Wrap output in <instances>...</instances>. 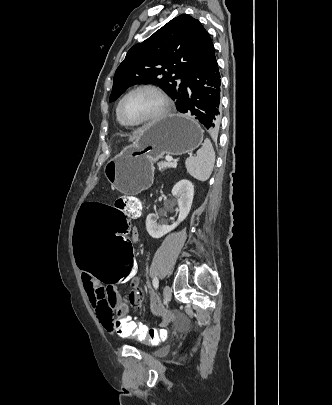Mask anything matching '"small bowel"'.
<instances>
[{
	"label": "small bowel",
	"instance_id": "obj_1",
	"mask_svg": "<svg viewBox=\"0 0 332 405\" xmlns=\"http://www.w3.org/2000/svg\"><path fill=\"white\" fill-rule=\"evenodd\" d=\"M138 216L139 214H134L131 217L137 218ZM132 234L135 243L139 239V233L136 227L132 228ZM135 266L137 265L135 264ZM80 269L84 288L101 325L108 332L117 334L119 329L114 326L115 319L122 318L123 313L129 311V305H144L143 297H133L139 288L138 276L135 275V281L126 282L129 285V292L122 294L116 287H100L98 281L95 280V275H83V268ZM154 305L159 308V301L154 300Z\"/></svg>",
	"mask_w": 332,
	"mask_h": 405
}]
</instances>
